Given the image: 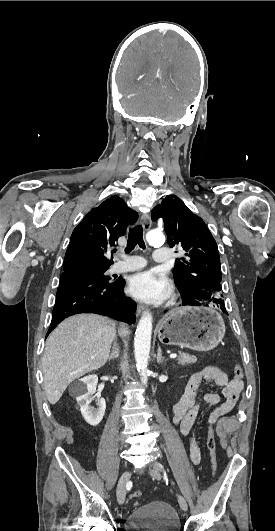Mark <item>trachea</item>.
Returning a JSON list of instances; mask_svg holds the SVG:
<instances>
[{
    "instance_id": "3493384b",
    "label": "trachea",
    "mask_w": 275,
    "mask_h": 531,
    "mask_svg": "<svg viewBox=\"0 0 275 531\" xmlns=\"http://www.w3.org/2000/svg\"><path fill=\"white\" fill-rule=\"evenodd\" d=\"M137 244L140 246V248L145 249V243L143 241V228L141 225L130 229L125 253H130V251H132ZM115 251L116 250H113L114 253Z\"/></svg>"
}]
</instances>
